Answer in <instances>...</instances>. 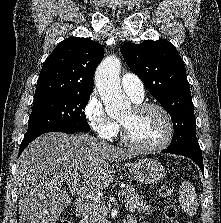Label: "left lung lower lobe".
I'll return each mask as SVG.
<instances>
[{"label":"left lung lower lobe","instance_id":"1","mask_svg":"<svg viewBox=\"0 0 221 223\" xmlns=\"http://www.w3.org/2000/svg\"><path fill=\"white\" fill-rule=\"evenodd\" d=\"M162 152L182 155V156H186V157L192 159L200 167L201 171L204 174L203 159H202L200 147H193V146L179 147V148L168 147L167 149L163 150Z\"/></svg>","mask_w":221,"mask_h":223}]
</instances>
